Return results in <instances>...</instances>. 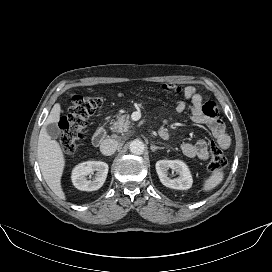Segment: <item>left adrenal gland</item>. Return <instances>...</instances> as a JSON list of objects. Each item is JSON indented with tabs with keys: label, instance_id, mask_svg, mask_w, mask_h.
Here are the masks:
<instances>
[{
	"label": "left adrenal gland",
	"instance_id": "left-adrenal-gland-1",
	"mask_svg": "<svg viewBox=\"0 0 272 272\" xmlns=\"http://www.w3.org/2000/svg\"><path fill=\"white\" fill-rule=\"evenodd\" d=\"M150 149L152 150V152H154L155 150H158V149H163V147H159V146L151 145V146H150Z\"/></svg>",
	"mask_w": 272,
	"mask_h": 272
}]
</instances>
